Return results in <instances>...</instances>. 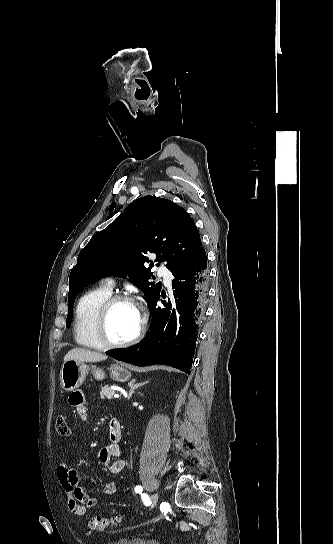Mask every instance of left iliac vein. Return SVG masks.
Here are the masks:
<instances>
[{
    "instance_id": "obj_1",
    "label": "left iliac vein",
    "mask_w": 333,
    "mask_h": 544,
    "mask_svg": "<svg viewBox=\"0 0 333 544\" xmlns=\"http://www.w3.org/2000/svg\"><path fill=\"white\" fill-rule=\"evenodd\" d=\"M158 499H159L158 493H154L151 495L150 509L156 506V504L158 503Z\"/></svg>"
}]
</instances>
